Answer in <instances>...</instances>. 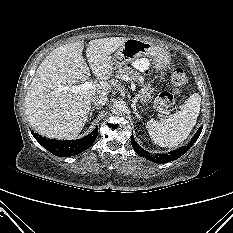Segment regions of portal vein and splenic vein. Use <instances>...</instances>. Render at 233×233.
<instances>
[{
	"label": "portal vein and splenic vein",
	"mask_w": 233,
	"mask_h": 233,
	"mask_svg": "<svg viewBox=\"0 0 233 233\" xmlns=\"http://www.w3.org/2000/svg\"><path fill=\"white\" fill-rule=\"evenodd\" d=\"M123 79L125 81L130 80V78L128 76H123ZM94 88H95V85L93 84V82H90V81H86L83 84L75 85V86H71V87L60 86V89L70 90V91H72L74 93H83L85 91H88V90H91V89H94Z\"/></svg>",
	"instance_id": "18ae733b"
}]
</instances>
